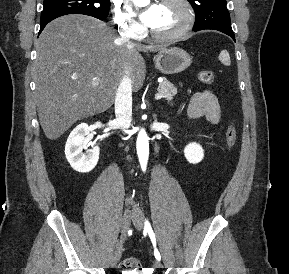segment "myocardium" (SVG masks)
Listing matches in <instances>:
<instances>
[{"label": "myocardium", "mask_w": 289, "mask_h": 274, "mask_svg": "<svg viewBox=\"0 0 289 274\" xmlns=\"http://www.w3.org/2000/svg\"><path fill=\"white\" fill-rule=\"evenodd\" d=\"M176 2L180 4L185 12V20L183 25L174 32L171 33H160L149 28V33L153 38L162 41H173L184 37L193 27L195 23V10L192 3L189 0H161V4Z\"/></svg>", "instance_id": "1"}]
</instances>
